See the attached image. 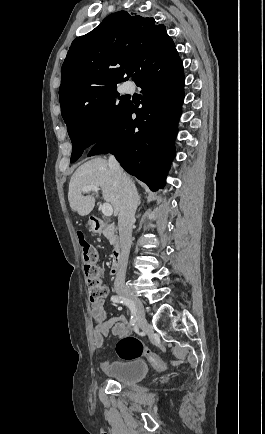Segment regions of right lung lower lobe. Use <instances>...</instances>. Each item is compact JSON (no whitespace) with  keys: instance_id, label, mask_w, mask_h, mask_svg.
Returning a JSON list of instances; mask_svg holds the SVG:
<instances>
[{"instance_id":"1","label":"right lung lower lobe","mask_w":265,"mask_h":434,"mask_svg":"<svg viewBox=\"0 0 265 434\" xmlns=\"http://www.w3.org/2000/svg\"><path fill=\"white\" fill-rule=\"evenodd\" d=\"M184 82L183 63L175 48L149 63L135 80L142 88V108L137 109L139 104L131 101L119 125L99 140L88 156L112 153L152 191L162 188L175 156Z\"/></svg>"}]
</instances>
